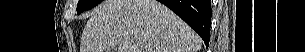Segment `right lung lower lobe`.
<instances>
[{
  "instance_id": "1",
  "label": "right lung lower lobe",
  "mask_w": 305,
  "mask_h": 52,
  "mask_svg": "<svg viewBox=\"0 0 305 52\" xmlns=\"http://www.w3.org/2000/svg\"><path fill=\"white\" fill-rule=\"evenodd\" d=\"M191 28H193L204 40L208 47L211 26V1L210 0H158Z\"/></svg>"
}]
</instances>
